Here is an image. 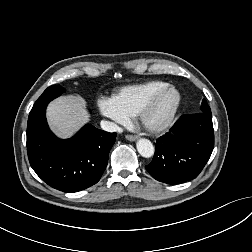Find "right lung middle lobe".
Listing matches in <instances>:
<instances>
[{"label": "right lung middle lobe", "mask_w": 252, "mask_h": 252, "mask_svg": "<svg viewBox=\"0 0 252 252\" xmlns=\"http://www.w3.org/2000/svg\"><path fill=\"white\" fill-rule=\"evenodd\" d=\"M66 90L61 86H50L48 87L43 94L38 98V100L35 102L31 112L38 110L44 105H47L51 100L54 98L60 96L62 93H64Z\"/></svg>", "instance_id": "1"}]
</instances>
